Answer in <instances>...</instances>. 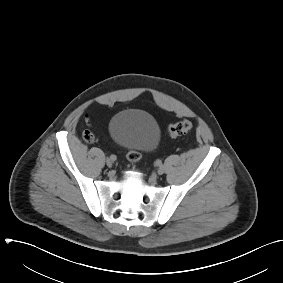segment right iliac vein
<instances>
[{
  "label": "right iliac vein",
  "mask_w": 283,
  "mask_h": 283,
  "mask_svg": "<svg viewBox=\"0 0 283 283\" xmlns=\"http://www.w3.org/2000/svg\"><path fill=\"white\" fill-rule=\"evenodd\" d=\"M106 164H107L108 167H111L112 164H113V161L110 158H107Z\"/></svg>",
  "instance_id": "63e3f726"
}]
</instances>
